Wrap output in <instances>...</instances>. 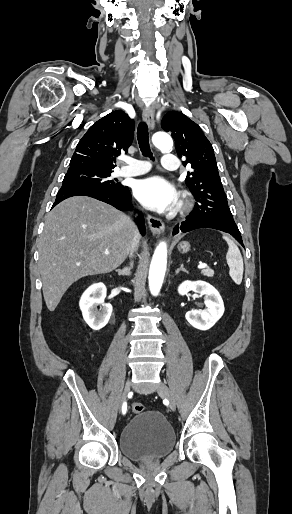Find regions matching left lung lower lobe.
<instances>
[{"label": "left lung lower lobe", "instance_id": "left-lung-lower-lobe-1", "mask_svg": "<svg viewBox=\"0 0 292 514\" xmlns=\"http://www.w3.org/2000/svg\"><path fill=\"white\" fill-rule=\"evenodd\" d=\"M198 228H212L231 234L243 247L241 233L234 220L220 217H201L194 210L186 217V220L177 224L173 235L179 232H188Z\"/></svg>", "mask_w": 292, "mask_h": 514}]
</instances>
